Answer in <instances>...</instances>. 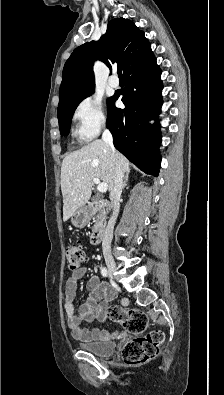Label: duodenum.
<instances>
[{
	"label": "duodenum",
	"instance_id": "1",
	"mask_svg": "<svg viewBox=\"0 0 224 395\" xmlns=\"http://www.w3.org/2000/svg\"><path fill=\"white\" fill-rule=\"evenodd\" d=\"M106 204V200L100 199L98 201H89L87 203L88 206L90 207H95L97 205H104ZM104 234V228L103 227H98L96 228L93 233L91 234V243L92 245H98L100 244Z\"/></svg>",
	"mask_w": 224,
	"mask_h": 395
}]
</instances>
